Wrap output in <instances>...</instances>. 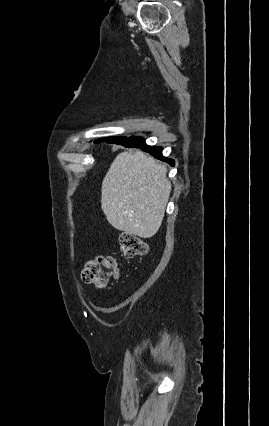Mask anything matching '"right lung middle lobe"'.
I'll return each mask as SVG.
<instances>
[{"mask_svg": "<svg viewBox=\"0 0 269 426\" xmlns=\"http://www.w3.org/2000/svg\"><path fill=\"white\" fill-rule=\"evenodd\" d=\"M125 138L126 137H107V138H104V139H98V140L95 141V143H100L101 141H105V140H123Z\"/></svg>", "mask_w": 269, "mask_h": 426, "instance_id": "dd1d6c3e", "label": "right lung middle lobe"}]
</instances>
